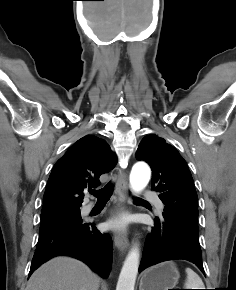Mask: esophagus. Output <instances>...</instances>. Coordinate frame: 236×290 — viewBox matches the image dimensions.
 I'll list each match as a JSON object with an SVG mask.
<instances>
[{
	"label": "esophagus",
	"instance_id": "1",
	"mask_svg": "<svg viewBox=\"0 0 236 290\" xmlns=\"http://www.w3.org/2000/svg\"><path fill=\"white\" fill-rule=\"evenodd\" d=\"M128 177L124 170H119L116 177V194L119 204H125L129 201L128 197ZM115 246L121 251L125 252L129 246V240L125 233L117 232L114 234Z\"/></svg>",
	"mask_w": 236,
	"mask_h": 290
}]
</instances>
